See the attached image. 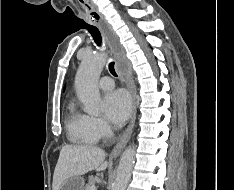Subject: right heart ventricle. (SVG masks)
Instances as JSON below:
<instances>
[{"mask_svg":"<svg viewBox=\"0 0 234 190\" xmlns=\"http://www.w3.org/2000/svg\"><path fill=\"white\" fill-rule=\"evenodd\" d=\"M66 129L72 142L82 145H93L99 137L92 129L88 116L77 110L73 103L67 107Z\"/></svg>","mask_w":234,"mask_h":190,"instance_id":"obj_1","label":"right heart ventricle"}]
</instances>
